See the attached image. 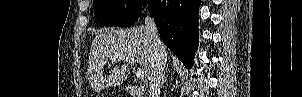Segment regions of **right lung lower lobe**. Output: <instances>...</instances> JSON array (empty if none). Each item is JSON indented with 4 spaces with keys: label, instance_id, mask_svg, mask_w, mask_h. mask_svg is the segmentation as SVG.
<instances>
[{
    "label": "right lung lower lobe",
    "instance_id": "1",
    "mask_svg": "<svg viewBox=\"0 0 302 97\" xmlns=\"http://www.w3.org/2000/svg\"><path fill=\"white\" fill-rule=\"evenodd\" d=\"M147 5L164 43L190 68L198 47L200 0H149Z\"/></svg>",
    "mask_w": 302,
    "mask_h": 97
}]
</instances>
